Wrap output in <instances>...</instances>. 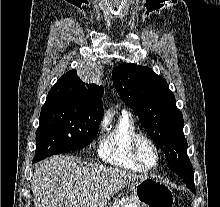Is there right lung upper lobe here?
<instances>
[{"label": "right lung upper lobe", "mask_w": 220, "mask_h": 207, "mask_svg": "<svg viewBox=\"0 0 220 207\" xmlns=\"http://www.w3.org/2000/svg\"><path fill=\"white\" fill-rule=\"evenodd\" d=\"M103 92V86L84 81L78 76L76 70H71L62 75L50 89L48 95L76 98L85 106L103 114V103L101 100Z\"/></svg>", "instance_id": "cb5924a9"}]
</instances>
